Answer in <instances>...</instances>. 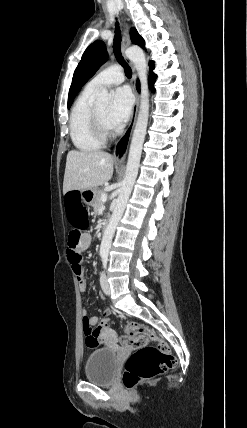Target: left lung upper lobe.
Returning a JSON list of instances; mask_svg holds the SVG:
<instances>
[{
    "label": "left lung upper lobe",
    "mask_w": 247,
    "mask_h": 428,
    "mask_svg": "<svg viewBox=\"0 0 247 428\" xmlns=\"http://www.w3.org/2000/svg\"><path fill=\"white\" fill-rule=\"evenodd\" d=\"M131 40L140 47H145L143 38L135 28L130 32ZM108 59L106 45L103 41L97 40L92 43L83 53L82 59L74 71L72 84L69 89L68 108L71 107L77 93L83 85L96 73L98 68Z\"/></svg>",
    "instance_id": "1"
}]
</instances>
